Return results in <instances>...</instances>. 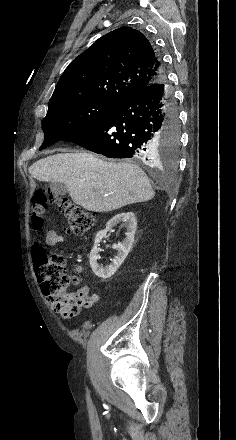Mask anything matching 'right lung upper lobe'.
Listing matches in <instances>:
<instances>
[{"mask_svg":"<svg viewBox=\"0 0 236 440\" xmlns=\"http://www.w3.org/2000/svg\"><path fill=\"white\" fill-rule=\"evenodd\" d=\"M158 56L138 30H113L65 69L49 103L95 99L121 104L159 79ZM163 71V70H162Z\"/></svg>","mask_w":236,"mask_h":440,"instance_id":"cb5924a9","label":"right lung upper lobe"}]
</instances>
